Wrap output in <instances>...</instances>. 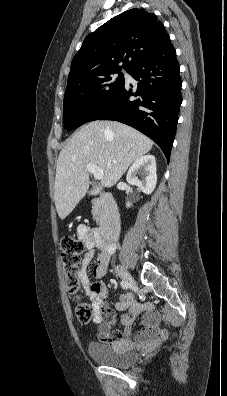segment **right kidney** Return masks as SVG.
<instances>
[{"label": "right kidney", "mask_w": 227, "mask_h": 396, "mask_svg": "<svg viewBox=\"0 0 227 396\" xmlns=\"http://www.w3.org/2000/svg\"><path fill=\"white\" fill-rule=\"evenodd\" d=\"M138 175L141 179L138 178ZM126 180L130 185L137 186L143 193L151 194L157 183L156 159L153 155L141 156L129 168ZM131 203H127L130 207Z\"/></svg>", "instance_id": "1"}]
</instances>
